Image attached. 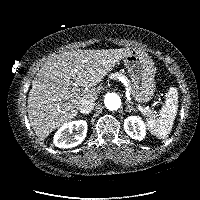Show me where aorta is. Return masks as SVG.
<instances>
[{"label":"aorta","mask_w":200,"mask_h":200,"mask_svg":"<svg viewBox=\"0 0 200 200\" xmlns=\"http://www.w3.org/2000/svg\"><path fill=\"white\" fill-rule=\"evenodd\" d=\"M104 105L110 111H115L120 108L121 99L116 93H107L104 97Z\"/></svg>","instance_id":"aorta-1"}]
</instances>
